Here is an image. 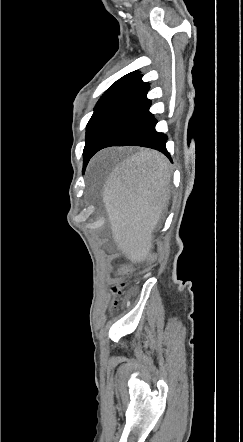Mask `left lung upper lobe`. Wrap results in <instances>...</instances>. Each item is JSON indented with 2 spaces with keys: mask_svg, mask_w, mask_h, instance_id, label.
<instances>
[{
  "mask_svg": "<svg viewBox=\"0 0 243 442\" xmlns=\"http://www.w3.org/2000/svg\"><path fill=\"white\" fill-rule=\"evenodd\" d=\"M142 75L138 71L131 72L116 82H114L110 88L102 95L98 103L94 108V113L90 118L86 127V145L90 141L96 127L107 114V112L126 94L138 87L143 83L141 80ZM84 147V149H85ZM88 163H83V171Z\"/></svg>",
  "mask_w": 243,
  "mask_h": 442,
  "instance_id": "1",
  "label": "left lung upper lobe"
}]
</instances>
